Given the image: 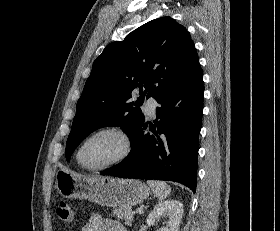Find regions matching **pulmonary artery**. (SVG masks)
Masks as SVG:
<instances>
[{
	"instance_id": "obj_1",
	"label": "pulmonary artery",
	"mask_w": 280,
	"mask_h": 231,
	"mask_svg": "<svg viewBox=\"0 0 280 231\" xmlns=\"http://www.w3.org/2000/svg\"><path fill=\"white\" fill-rule=\"evenodd\" d=\"M144 105H158L154 97H149ZM157 110H145L146 113H156Z\"/></svg>"
}]
</instances>
